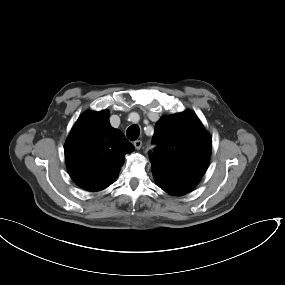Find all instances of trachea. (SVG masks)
<instances>
[{"mask_svg": "<svg viewBox=\"0 0 285 285\" xmlns=\"http://www.w3.org/2000/svg\"><path fill=\"white\" fill-rule=\"evenodd\" d=\"M140 128L137 125H132L127 129L126 135L129 140H136L139 137Z\"/></svg>", "mask_w": 285, "mask_h": 285, "instance_id": "obj_1", "label": "trachea"}]
</instances>
